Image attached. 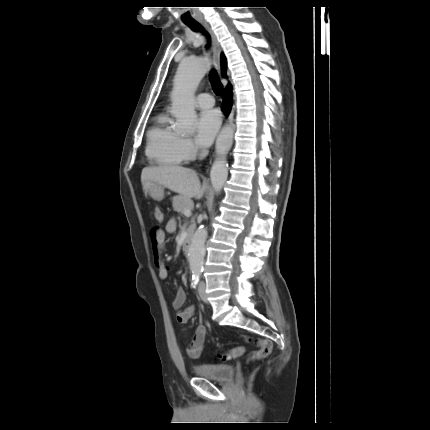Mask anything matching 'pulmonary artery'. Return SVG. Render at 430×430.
<instances>
[{"label":"pulmonary artery","instance_id":"e3ab8cb5","mask_svg":"<svg viewBox=\"0 0 430 430\" xmlns=\"http://www.w3.org/2000/svg\"><path fill=\"white\" fill-rule=\"evenodd\" d=\"M196 104L201 109H208L214 106V98L208 93H201L196 97Z\"/></svg>","mask_w":430,"mask_h":430}]
</instances>
